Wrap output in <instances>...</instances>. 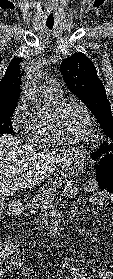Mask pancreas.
<instances>
[{
  "label": "pancreas",
  "mask_w": 113,
  "mask_h": 279,
  "mask_svg": "<svg viewBox=\"0 0 113 279\" xmlns=\"http://www.w3.org/2000/svg\"><path fill=\"white\" fill-rule=\"evenodd\" d=\"M69 183V186H65L63 192L67 196H75L77 193V187L74 185V182L71 181H62L60 178H56L54 181H52L48 186L45 188H42L39 192H37L33 198L32 202L29 204V208L31 210L35 211L37 209H43L45 205L49 203V198L52 195V193L55 191V189L58 188V185L61 183Z\"/></svg>",
  "instance_id": "1"
}]
</instances>
